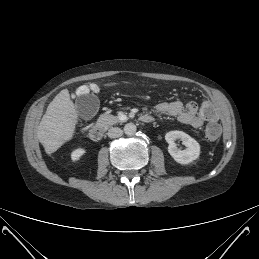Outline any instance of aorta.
Wrapping results in <instances>:
<instances>
[{
    "instance_id": "aorta-1",
    "label": "aorta",
    "mask_w": 259,
    "mask_h": 259,
    "mask_svg": "<svg viewBox=\"0 0 259 259\" xmlns=\"http://www.w3.org/2000/svg\"><path fill=\"white\" fill-rule=\"evenodd\" d=\"M136 125L134 123H127L124 126V133L128 136H132L136 133Z\"/></svg>"
}]
</instances>
